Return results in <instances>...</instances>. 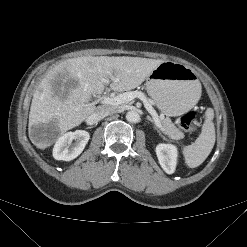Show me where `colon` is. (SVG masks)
<instances>
[{"label":"colon","instance_id":"1","mask_svg":"<svg viewBox=\"0 0 247 247\" xmlns=\"http://www.w3.org/2000/svg\"><path fill=\"white\" fill-rule=\"evenodd\" d=\"M197 118V111L195 109H192L179 118L178 124L182 129L186 131H196Z\"/></svg>","mask_w":247,"mask_h":247}]
</instances>
